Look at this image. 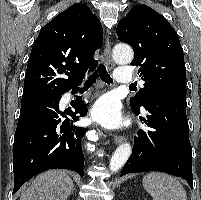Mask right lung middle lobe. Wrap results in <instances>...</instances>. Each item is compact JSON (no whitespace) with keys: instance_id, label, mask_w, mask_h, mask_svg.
Listing matches in <instances>:
<instances>
[{"instance_id":"right-lung-middle-lobe-1","label":"right lung middle lobe","mask_w":201,"mask_h":200,"mask_svg":"<svg viewBox=\"0 0 201 200\" xmlns=\"http://www.w3.org/2000/svg\"><path fill=\"white\" fill-rule=\"evenodd\" d=\"M35 99H38V98H35ZM31 100H34V99H24V98H22V103L28 102V101H31Z\"/></svg>"}]
</instances>
